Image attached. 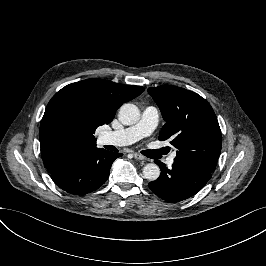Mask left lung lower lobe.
<instances>
[{"mask_svg": "<svg viewBox=\"0 0 266 266\" xmlns=\"http://www.w3.org/2000/svg\"><path fill=\"white\" fill-rule=\"evenodd\" d=\"M161 175L149 183V188L163 200L174 203L195 195L211 179L212 171L186 161L175 160L172 168L155 161Z\"/></svg>", "mask_w": 266, "mask_h": 266, "instance_id": "1", "label": "left lung lower lobe"}]
</instances>
